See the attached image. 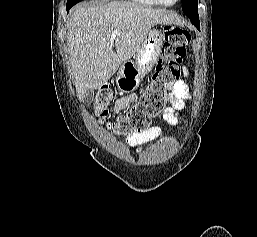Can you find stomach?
Wrapping results in <instances>:
<instances>
[{
	"instance_id": "stomach-1",
	"label": "stomach",
	"mask_w": 257,
	"mask_h": 237,
	"mask_svg": "<svg viewBox=\"0 0 257 237\" xmlns=\"http://www.w3.org/2000/svg\"><path fill=\"white\" fill-rule=\"evenodd\" d=\"M162 43V31L155 28L150 29L136 52L135 60L124 62L119 69L116 82L121 92L129 93L139 86L143 77L152 70L157 62Z\"/></svg>"
}]
</instances>
